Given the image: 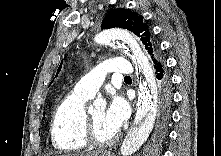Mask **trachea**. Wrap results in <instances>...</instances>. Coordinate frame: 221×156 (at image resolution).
<instances>
[{"mask_svg": "<svg viewBox=\"0 0 221 156\" xmlns=\"http://www.w3.org/2000/svg\"><path fill=\"white\" fill-rule=\"evenodd\" d=\"M125 78H130V76H126Z\"/></svg>", "mask_w": 221, "mask_h": 156, "instance_id": "1", "label": "trachea"}]
</instances>
